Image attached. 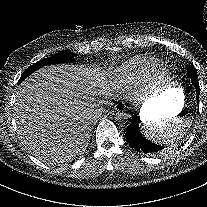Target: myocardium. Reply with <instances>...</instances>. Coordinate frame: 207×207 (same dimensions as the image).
I'll return each mask as SVG.
<instances>
[{
	"instance_id": "f54148a6",
	"label": "myocardium",
	"mask_w": 207,
	"mask_h": 207,
	"mask_svg": "<svg viewBox=\"0 0 207 207\" xmlns=\"http://www.w3.org/2000/svg\"><path fill=\"white\" fill-rule=\"evenodd\" d=\"M171 74L170 68L167 65H162L154 74V80L157 82H165Z\"/></svg>"
}]
</instances>
